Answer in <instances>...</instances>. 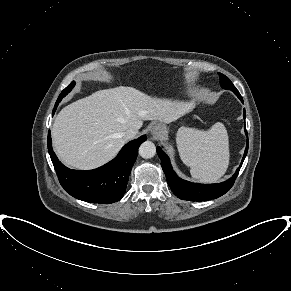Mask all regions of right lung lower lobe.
Instances as JSON below:
<instances>
[{
  "label": "right lung lower lobe",
  "mask_w": 291,
  "mask_h": 291,
  "mask_svg": "<svg viewBox=\"0 0 291 291\" xmlns=\"http://www.w3.org/2000/svg\"><path fill=\"white\" fill-rule=\"evenodd\" d=\"M145 140L146 136L143 135L127 143L112 161L89 171H76L65 167L52 149L50 133L47 146L59 182L67 193L90 203L110 204L123 197L138 148Z\"/></svg>",
  "instance_id": "obj_1"
}]
</instances>
